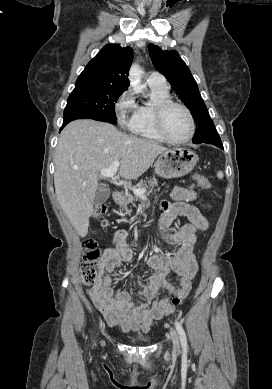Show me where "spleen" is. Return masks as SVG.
Returning a JSON list of instances; mask_svg holds the SVG:
<instances>
[{"label":"spleen","mask_w":272,"mask_h":389,"mask_svg":"<svg viewBox=\"0 0 272 389\" xmlns=\"http://www.w3.org/2000/svg\"><path fill=\"white\" fill-rule=\"evenodd\" d=\"M217 177H218L219 179H222V178L224 177L223 172H222V171H218V172H217Z\"/></svg>","instance_id":"spleen-1"}]
</instances>
